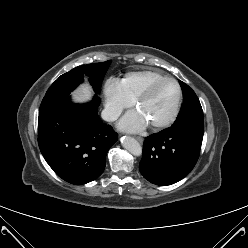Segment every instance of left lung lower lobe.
Segmentation results:
<instances>
[{"mask_svg":"<svg viewBox=\"0 0 248 248\" xmlns=\"http://www.w3.org/2000/svg\"><path fill=\"white\" fill-rule=\"evenodd\" d=\"M203 133V117H197L148 136L139 164L143 177L161 186L183 179L198 160Z\"/></svg>","mask_w":248,"mask_h":248,"instance_id":"0a47b994","label":"left lung lower lobe"}]
</instances>
